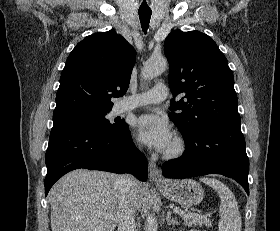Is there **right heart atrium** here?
Instances as JSON below:
<instances>
[{
	"label": "right heart atrium",
	"instance_id": "right-heart-atrium-1",
	"mask_svg": "<svg viewBox=\"0 0 280 231\" xmlns=\"http://www.w3.org/2000/svg\"><path fill=\"white\" fill-rule=\"evenodd\" d=\"M137 147H140V144H136Z\"/></svg>",
	"mask_w": 280,
	"mask_h": 231
}]
</instances>
